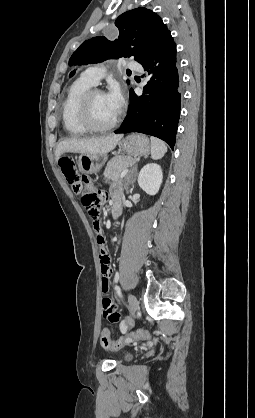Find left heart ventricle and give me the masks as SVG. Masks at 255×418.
I'll return each mask as SVG.
<instances>
[{"label":"left heart ventricle","mask_w":255,"mask_h":418,"mask_svg":"<svg viewBox=\"0 0 255 418\" xmlns=\"http://www.w3.org/2000/svg\"><path fill=\"white\" fill-rule=\"evenodd\" d=\"M117 113L109 105L105 94H96L92 99V117L97 125H107Z\"/></svg>","instance_id":"1"}]
</instances>
